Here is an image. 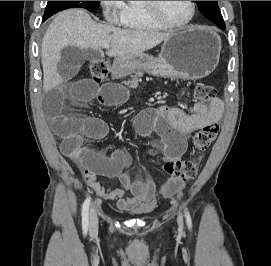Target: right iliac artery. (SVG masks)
Instances as JSON below:
<instances>
[{
    "label": "right iliac artery",
    "instance_id": "obj_1",
    "mask_svg": "<svg viewBox=\"0 0 271 266\" xmlns=\"http://www.w3.org/2000/svg\"><path fill=\"white\" fill-rule=\"evenodd\" d=\"M89 206H90V198L88 197L83 204L82 208V228L84 234L87 233L89 227Z\"/></svg>",
    "mask_w": 271,
    "mask_h": 266
}]
</instances>
